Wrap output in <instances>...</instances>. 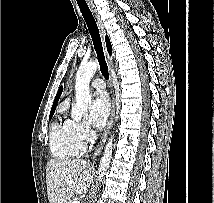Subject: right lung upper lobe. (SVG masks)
Here are the masks:
<instances>
[{
	"label": "right lung upper lobe",
	"instance_id": "cb5924a9",
	"mask_svg": "<svg viewBox=\"0 0 214 203\" xmlns=\"http://www.w3.org/2000/svg\"><path fill=\"white\" fill-rule=\"evenodd\" d=\"M106 45H107V50L109 52V54L111 55V50H112V47H111V43H110V40L108 38V36H106ZM62 93V86L59 88L58 92H57V95L54 99V102H53V105H52V108H51V111H50V115H53L54 112H55V109H56V105H57V102L59 100V97Z\"/></svg>",
	"mask_w": 214,
	"mask_h": 203
}]
</instances>
